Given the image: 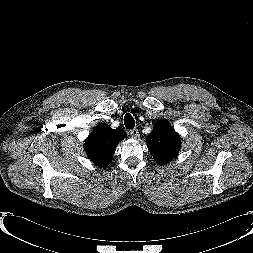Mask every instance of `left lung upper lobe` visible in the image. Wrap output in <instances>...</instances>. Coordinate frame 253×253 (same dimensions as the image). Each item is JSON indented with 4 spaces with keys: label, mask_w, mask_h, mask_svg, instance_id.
I'll list each match as a JSON object with an SVG mask.
<instances>
[{
    "label": "left lung upper lobe",
    "mask_w": 253,
    "mask_h": 253,
    "mask_svg": "<svg viewBox=\"0 0 253 253\" xmlns=\"http://www.w3.org/2000/svg\"><path fill=\"white\" fill-rule=\"evenodd\" d=\"M146 143L151 155L160 164H166L174 158L181 145L180 136L165 120L155 124L153 131L146 138Z\"/></svg>",
    "instance_id": "left-lung-upper-lobe-1"
}]
</instances>
